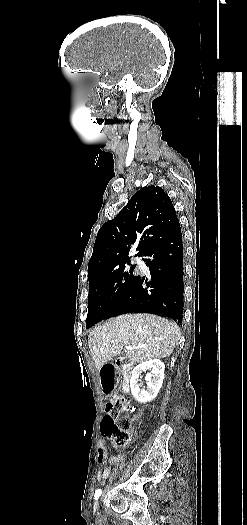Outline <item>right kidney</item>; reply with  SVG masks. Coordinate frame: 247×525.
Segmentation results:
<instances>
[{
    "label": "right kidney",
    "instance_id": "1",
    "mask_svg": "<svg viewBox=\"0 0 247 525\" xmlns=\"http://www.w3.org/2000/svg\"><path fill=\"white\" fill-rule=\"evenodd\" d=\"M165 365L160 359H151V361H145L140 363L132 371V377L130 379L131 393L137 401V403H150L158 395L164 379ZM149 371L145 377L147 381V387L139 385L142 373Z\"/></svg>",
    "mask_w": 247,
    "mask_h": 525
}]
</instances>
